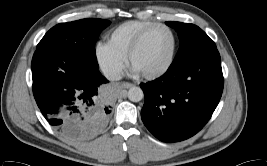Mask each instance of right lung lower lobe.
<instances>
[{"instance_id":"right-lung-lower-lobe-1","label":"right lung lower lobe","mask_w":267,"mask_h":166,"mask_svg":"<svg viewBox=\"0 0 267 166\" xmlns=\"http://www.w3.org/2000/svg\"><path fill=\"white\" fill-rule=\"evenodd\" d=\"M33 94L49 123L64 135L83 139L101 131L111 112L97 102L108 80L98 68L53 47L36 49L32 59Z\"/></svg>"}]
</instances>
